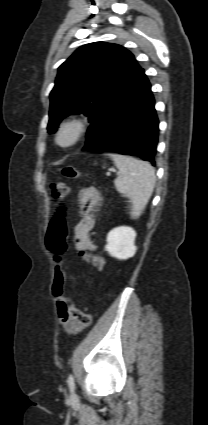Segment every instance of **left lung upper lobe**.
Wrapping results in <instances>:
<instances>
[{"mask_svg": "<svg viewBox=\"0 0 208 425\" xmlns=\"http://www.w3.org/2000/svg\"><path fill=\"white\" fill-rule=\"evenodd\" d=\"M141 69L120 45L95 42L78 48L58 69L50 93L49 133L72 113H84L92 123Z\"/></svg>", "mask_w": 208, "mask_h": 425, "instance_id": "left-lung-upper-lobe-1", "label": "left lung upper lobe"}]
</instances>
